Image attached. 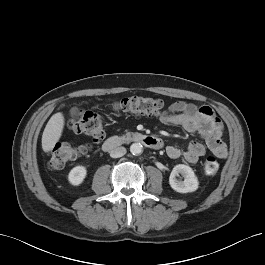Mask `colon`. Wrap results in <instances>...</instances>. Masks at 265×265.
Instances as JSON below:
<instances>
[{"mask_svg": "<svg viewBox=\"0 0 265 265\" xmlns=\"http://www.w3.org/2000/svg\"><path fill=\"white\" fill-rule=\"evenodd\" d=\"M116 108L132 115L157 116L163 111L164 103L160 99L133 96L120 100ZM69 126L73 132L88 136L95 142L104 138V123L97 113L80 112L69 122ZM88 150L89 145L86 144L58 143L49 154V167L52 170L61 169L78 156L86 154ZM203 169L206 175H215L219 170L218 159L213 155L207 156L203 162Z\"/></svg>", "mask_w": 265, "mask_h": 265, "instance_id": "obj_1", "label": "colon"}]
</instances>
